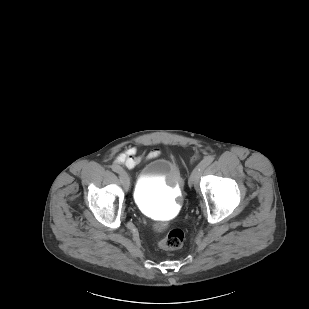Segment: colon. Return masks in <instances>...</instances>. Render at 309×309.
<instances>
[{"label":"colon","instance_id":"1","mask_svg":"<svg viewBox=\"0 0 309 309\" xmlns=\"http://www.w3.org/2000/svg\"><path fill=\"white\" fill-rule=\"evenodd\" d=\"M198 160H199V155L195 154L191 158V163L195 164ZM167 227H168V224L166 222H158L155 224L154 230L157 233H161L165 231ZM184 238H185L184 232L179 228H175V229L170 230L164 238L158 241V246L163 250L178 249L182 246L184 242Z\"/></svg>","mask_w":309,"mask_h":309}]
</instances>
